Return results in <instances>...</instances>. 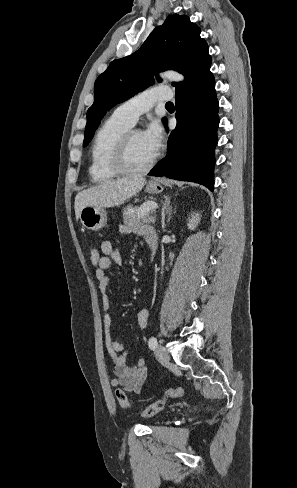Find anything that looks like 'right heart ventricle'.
<instances>
[{"label": "right heart ventricle", "instance_id": "obj_1", "mask_svg": "<svg viewBox=\"0 0 297 488\" xmlns=\"http://www.w3.org/2000/svg\"><path fill=\"white\" fill-rule=\"evenodd\" d=\"M132 125L113 113L99 128L91 146L89 173L94 182H108L117 178L112 166L114 149Z\"/></svg>", "mask_w": 297, "mask_h": 488}]
</instances>
